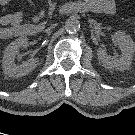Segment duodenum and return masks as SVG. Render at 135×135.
<instances>
[{"mask_svg":"<svg viewBox=\"0 0 135 135\" xmlns=\"http://www.w3.org/2000/svg\"><path fill=\"white\" fill-rule=\"evenodd\" d=\"M23 32H24L25 34H29V33L31 32V29H30L29 27H25V28L23 29Z\"/></svg>","mask_w":135,"mask_h":135,"instance_id":"duodenum-1","label":"duodenum"}]
</instances>
